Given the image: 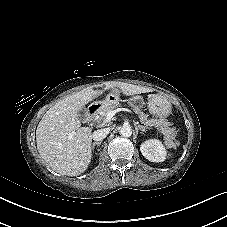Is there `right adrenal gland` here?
Masks as SVG:
<instances>
[{"instance_id": "1", "label": "right adrenal gland", "mask_w": 227, "mask_h": 227, "mask_svg": "<svg viewBox=\"0 0 227 227\" xmlns=\"http://www.w3.org/2000/svg\"><path fill=\"white\" fill-rule=\"evenodd\" d=\"M101 141L100 142H94L93 144H92V147H91V149L92 150H94V147L97 145V146H100L101 145Z\"/></svg>"}]
</instances>
